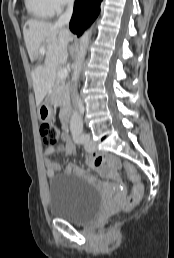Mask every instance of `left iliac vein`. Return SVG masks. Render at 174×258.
Wrapping results in <instances>:
<instances>
[{
    "label": "left iliac vein",
    "mask_w": 174,
    "mask_h": 258,
    "mask_svg": "<svg viewBox=\"0 0 174 258\" xmlns=\"http://www.w3.org/2000/svg\"><path fill=\"white\" fill-rule=\"evenodd\" d=\"M86 137H87V139L85 142V149L87 151H93L95 149V146H94L93 142L90 140V136L86 135Z\"/></svg>",
    "instance_id": "1"
}]
</instances>
